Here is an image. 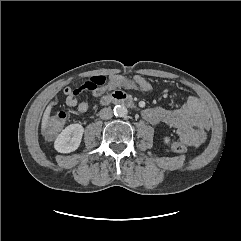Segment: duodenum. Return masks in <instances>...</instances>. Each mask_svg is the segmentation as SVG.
I'll use <instances>...</instances> for the list:
<instances>
[{
	"instance_id": "duodenum-1",
	"label": "duodenum",
	"mask_w": 241,
	"mask_h": 241,
	"mask_svg": "<svg viewBox=\"0 0 241 241\" xmlns=\"http://www.w3.org/2000/svg\"><path fill=\"white\" fill-rule=\"evenodd\" d=\"M101 104H125L127 106L134 107L132 99L121 91H116L113 96H103L101 98Z\"/></svg>"
}]
</instances>
